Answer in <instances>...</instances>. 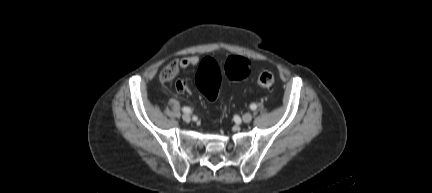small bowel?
<instances>
[{"instance_id":"small-bowel-1","label":"small bowel","mask_w":432,"mask_h":193,"mask_svg":"<svg viewBox=\"0 0 432 193\" xmlns=\"http://www.w3.org/2000/svg\"><path fill=\"white\" fill-rule=\"evenodd\" d=\"M200 59L197 55H190L182 58L179 62V65L182 69H187L191 67H195L198 65ZM176 87L178 90H184L185 89V83L183 81H178L176 83Z\"/></svg>"}]
</instances>
